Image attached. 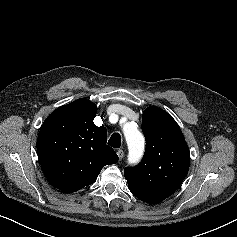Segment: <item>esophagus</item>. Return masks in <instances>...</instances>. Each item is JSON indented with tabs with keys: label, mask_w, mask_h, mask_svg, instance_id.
<instances>
[{
	"label": "esophagus",
	"mask_w": 237,
	"mask_h": 237,
	"mask_svg": "<svg viewBox=\"0 0 237 237\" xmlns=\"http://www.w3.org/2000/svg\"><path fill=\"white\" fill-rule=\"evenodd\" d=\"M117 155L119 157V160H121L124 157V151L122 149H118Z\"/></svg>",
	"instance_id": "esophagus-1"
}]
</instances>
